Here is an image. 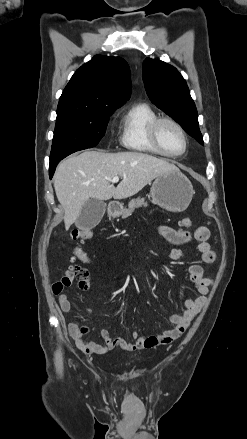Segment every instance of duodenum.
I'll return each instance as SVG.
<instances>
[{"label": "duodenum", "mask_w": 247, "mask_h": 439, "mask_svg": "<svg viewBox=\"0 0 247 439\" xmlns=\"http://www.w3.org/2000/svg\"><path fill=\"white\" fill-rule=\"evenodd\" d=\"M119 210V207L115 204H111L108 209L109 216L115 215Z\"/></svg>", "instance_id": "duodenum-1"}]
</instances>
